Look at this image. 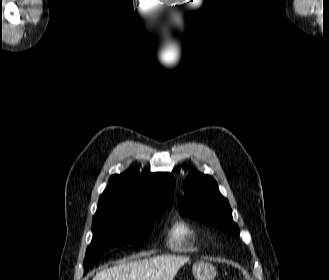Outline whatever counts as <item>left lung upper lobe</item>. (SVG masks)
Masks as SVG:
<instances>
[{
	"mask_svg": "<svg viewBox=\"0 0 329 280\" xmlns=\"http://www.w3.org/2000/svg\"><path fill=\"white\" fill-rule=\"evenodd\" d=\"M183 190L178 201L182 215L196 218L226 233L239 235L228 200L221 195L217 182L211 176L192 172L184 181Z\"/></svg>",
	"mask_w": 329,
	"mask_h": 280,
	"instance_id": "obj_1",
	"label": "left lung upper lobe"
}]
</instances>
